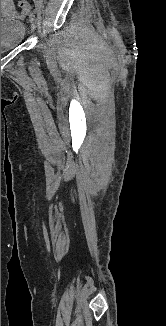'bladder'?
I'll return each instance as SVG.
<instances>
[{"label": "bladder", "mask_w": 166, "mask_h": 326, "mask_svg": "<svg viewBox=\"0 0 166 326\" xmlns=\"http://www.w3.org/2000/svg\"><path fill=\"white\" fill-rule=\"evenodd\" d=\"M25 33V25L18 17L1 16V54L18 47Z\"/></svg>", "instance_id": "bladder-1"}]
</instances>
